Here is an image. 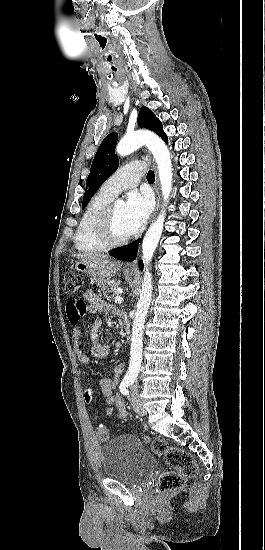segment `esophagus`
<instances>
[{
  "label": "esophagus",
  "mask_w": 265,
  "mask_h": 550,
  "mask_svg": "<svg viewBox=\"0 0 265 550\" xmlns=\"http://www.w3.org/2000/svg\"><path fill=\"white\" fill-rule=\"evenodd\" d=\"M149 159L151 160V156L148 155ZM153 162V167L155 169V175H156V181H155V194H156V207H155V211L153 213V216H152V220L156 217V214L159 210V207H160V193H159V178H158V173H157V167H156V164L155 162L152 160ZM136 266V261H132L130 263L127 264V267L130 268V269H133L135 268Z\"/></svg>",
  "instance_id": "34e87169"
}]
</instances>
